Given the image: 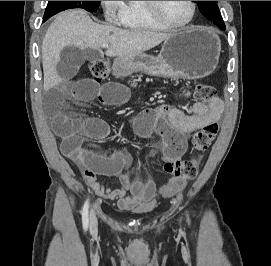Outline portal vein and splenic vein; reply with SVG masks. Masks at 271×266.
Instances as JSON below:
<instances>
[{"instance_id": "obj_1", "label": "portal vein and splenic vein", "mask_w": 271, "mask_h": 266, "mask_svg": "<svg viewBox=\"0 0 271 266\" xmlns=\"http://www.w3.org/2000/svg\"><path fill=\"white\" fill-rule=\"evenodd\" d=\"M101 47L102 48H109V45L108 44H103Z\"/></svg>"}]
</instances>
